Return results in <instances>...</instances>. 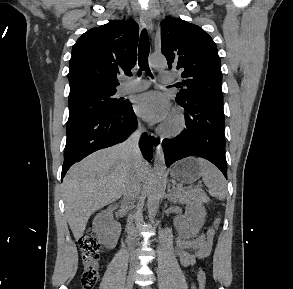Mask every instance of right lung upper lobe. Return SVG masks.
I'll return each mask as SVG.
<instances>
[{"mask_svg":"<svg viewBox=\"0 0 293 289\" xmlns=\"http://www.w3.org/2000/svg\"><path fill=\"white\" fill-rule=\"evenodd\" d=\"M139 27L114 20L84 33L69 61V101L117 92L120 75H131L137 56Z\"/></svg>","mask_w":293,"mask_h":289,"instance_id":"obj_1","label":"right lung upper lobe"}]
</instances>
